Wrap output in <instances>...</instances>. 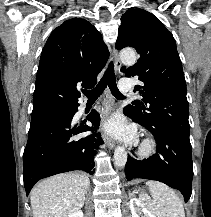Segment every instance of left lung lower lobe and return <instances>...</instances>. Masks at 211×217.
I'll list each match as a JSON object with an SVG mask.
<instances>
[{
	"mask_svg": "<svg viewBox=\"0 0 211 217\" xmlns=\"http://www.w3.org/2000/svg\"><path fill=\"white\" fill-rule=\"evenodd\" d=\"M124 114L130 117L126 108ZM148 130L156 139L157 153L142 161L128 156L125 166L127 180L143 178L163 182L178 189L187 202L192 193L193 177L189 136L162 127Z\"/></svg>",
	"mask_w": 211,
	"mask_h": 217,
	"instance_id": "1",
	"label": "left lung lower lobe"
}]
</instances>
